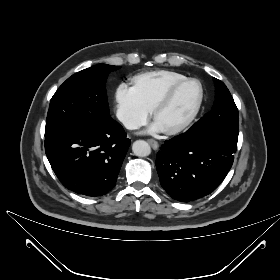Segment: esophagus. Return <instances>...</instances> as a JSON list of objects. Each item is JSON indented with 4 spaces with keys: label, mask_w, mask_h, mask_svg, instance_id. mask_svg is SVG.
<instances>
[{
    "label": "esophagus",
    "mask_w": 280,
    "mask_h": 280,
    "mask_svg": "<svg viewBox=\"0 0 280 280\" xmlns=\"http://www.w3.org/2000/svg\"><path fill=\"white\" fill-rule=\"evenodd\" d=\"M147 142L151 145V147L154 149V150H157L158 147H159V144L156 140L154 139H148Z\"/></svg>",
    "instance_id": "1"
}]
</instances>
